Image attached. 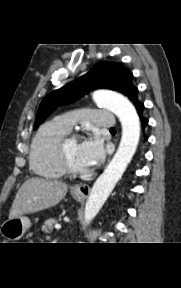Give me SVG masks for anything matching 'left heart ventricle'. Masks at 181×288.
Masks as SVG:
<instances>
[{"instance_id": "obj_1", "label": "left heart ventricle", "mask_w": 181, "mask_h": 288, "mask_svg": "<svg viewBox=\"0 0 181 288\" xmlns=\"http://www.w3.org/2000/svg\"><path fill=\"white\" fill-rule=\"evenodd\" d=\"M79 142L77 139L70 140L65 146V153L70 164L78 170H85L86 167L82 164L78 153Z\"/></svg>"}]
</instances>
